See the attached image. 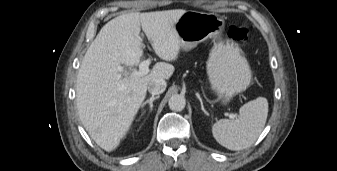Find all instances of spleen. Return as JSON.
<instances>
[{
	"label": "spleen",
	"mask_w": 337,
	"mask_h": 171,
	"mask_svg": "<svg viewBox=\"0 0 337 171\" xmlns=\"http://www.w3.org/2000/svg\"><path fill=\"white\" fill-rule=\"evenodd\" d=\"M268 116V101L258 97L239 109L235 120L220 119L212 127L213 137L223 147L239 151L253 145L264 129Z\"/></svg>",
	"instance_id": "3e777b00"
}]
</instances>
